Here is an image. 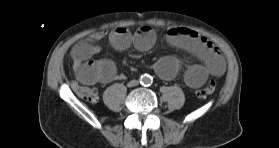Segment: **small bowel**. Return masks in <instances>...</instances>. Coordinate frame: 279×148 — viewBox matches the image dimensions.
I'll use <instances>...</instances> for the list:
<instances>
[{"label":"small bowel","instance_id":"c3829d8e","mask_svg":"<svg viewBox=\"0 0 279 148\" xmlns=\"http://www.w3.org/2000/svg\"><path fill=\"white\" fill-rule=\"evenodd\" d=\"M107 35L104 31L94 32L87 39L77 43L71 57L77 79L86 85L110 83L120 79L115 64L109 59L91 60L100 51L97 42ZM167 41L195 55L202 63L191 64L186 68L184 79L189 87L201 86L207 78L224 74L226 64L217 48L197 32L183 28H170L166 35ZM110 44L118 51L134 46L140 51H147L156 41L154 30L142 26L134 33L125 27H117L108 34ZM157 74L166 80L174 78L180 70V62L173 56H164L154 64Z\"/></svg>","mask_w":279,"mask_h":148}]
</instances>
